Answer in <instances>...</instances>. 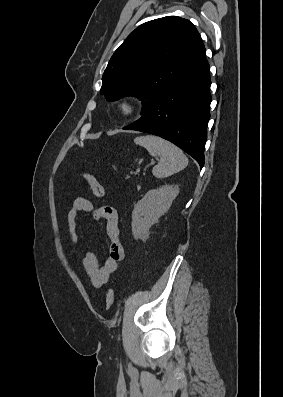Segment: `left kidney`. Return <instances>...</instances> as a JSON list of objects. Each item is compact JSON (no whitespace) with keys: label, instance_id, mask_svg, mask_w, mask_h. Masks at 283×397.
Instances as JSON below:
<instances>
[{"label":"left kidney","instance_id":"obj_1","mask_svg":"<svg viewBox=\"0 0 283 397\" xmlns=\"http://www.w3.org/2000/svg\"><path fill=\"white\" fill-rule=\"evenodd\" d=\"M179 194L176 185H165L148 191L145 196L137 202L132 212V234L134 239H144L149 233L152 225L166 213L173 200Z\"/></svg>","mask_w":283,"mask_h":397}]
</instances>
